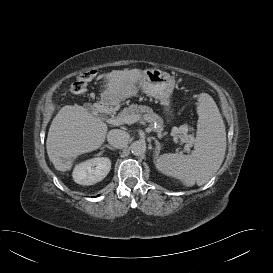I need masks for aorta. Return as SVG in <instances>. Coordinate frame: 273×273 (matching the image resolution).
I'll return each mask as SVG.
<instances>
[{
  "mask_svg": "<svg viewBox=\"0 0 273 273\" xmlns=\"http://www.w3.org/2000/svg\"><path fill=\"white\" fill-rule=\"evenodd\" d=\"M131 152L135 156H141L146 152V144L143 141H135L130 146Z\"/></svg>",
  "mask_w": 273,
  "mask_h": 273,
  "instance_id": "1",
  "label": "aorta"
}]
</instances>
